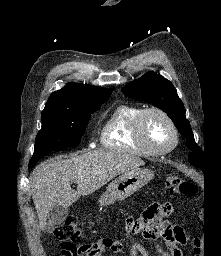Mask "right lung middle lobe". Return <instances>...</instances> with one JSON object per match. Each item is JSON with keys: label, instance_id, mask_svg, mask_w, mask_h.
Segmentation results:
<instances>
[{"label": "right lung middle lobe", "instance_id": "obj_1", "mask_svg": "<svg viewBox=\"0 0 221 256\" xmlns=\"http://www.w3.org/2000/svg\"><path fill=\"white\" fill-rule=\"evenodd\" d=\"M110 95L99 96L83 101L72 111L42 112V129L36 137L34 155L29 166L33 167L38 159L50 151L65 147H74L80 143L91 113L107 101Z\"/></svg>", "mask_w": 221, "mask_h": 256}]
</instances>
